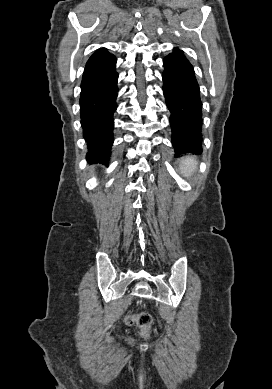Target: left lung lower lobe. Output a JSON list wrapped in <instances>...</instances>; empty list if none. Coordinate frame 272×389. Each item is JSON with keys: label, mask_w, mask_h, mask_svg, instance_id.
Masks as SVG:
<instances>
[{"label": "left lung lower lobe", "mask_w": 272, "mask_h": 389, "mask_svg": "<svg viewBox=\"0 0 272 389\" xmlns=\"http://www.w3.org/2000/svg\"><path fill=\"white\" fill-rule=\"evenodd\" d=\"M163 93L171 112L172 144L179 154L202 153V102L193 66L181 50L163 60Z\"/></svg>", "instance_id": "0a47b994"}]
</instances>
